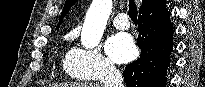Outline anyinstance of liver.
Instances as JSON below:
<instances>
[{"instance_id": "1", "label": "liver", "mask_w": 205, "mask_h": 87, "mask_svg": "<svg viewBox=\"0 0 205 87\" xmlns=\"http://www.w3.org/2000/svg\"><path fill=\"white\" fill-rule=\"evenodd\" d=\"M52 87H103L101 84L95 83H64V84H55Z\"/></svg>"}]
</instances>
